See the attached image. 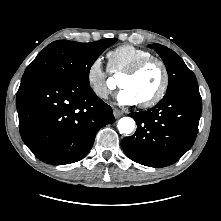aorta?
Masks as SVG:
<instances>
[{
    "label": "aorta",
    "mask_w": 221,
    "mask_h": 221,
    "mask_svg": "<svg viewBox=\"0 0 221 221\" xmlns=\"http://www.w3.org/2000/svg\"><path fill=\"white\" fill-rule=\"evenodd\" d=\"M117 127L121 134H130L135 129V121L131 117H123L118 121Z\"/></svg>",
    "instance_id": "obj_1"
}]
</instances>
